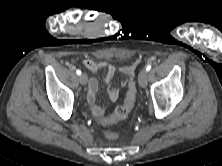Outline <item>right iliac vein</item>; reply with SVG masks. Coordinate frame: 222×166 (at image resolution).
I'll list each match as a JSON object with an SVG mask.
<instances>
[{"mask_svg": "<svg viewBox=\"0 0 222 166\" xmlns=\"http://www.w3.org/2000/svg\"><path fill=\"white\" fill-rule=\"evenodd\" d=\"M79 81L82 85H86L88 81V77L85 73H82L79 77Z\"/></svg>", "mask_w": 222, "mask_h": 166, "instance_id": "1", "label": "right iliac vein"}]
</instances>
